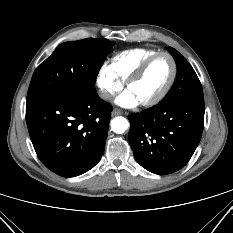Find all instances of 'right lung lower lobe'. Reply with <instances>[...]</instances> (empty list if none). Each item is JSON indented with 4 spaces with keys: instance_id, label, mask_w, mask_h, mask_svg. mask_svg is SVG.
<instances>
[{
    "instance_id": "obj_1",
    "label": "right lung lower lobe",
    "mask_w": 233,
    "mask_h": 233,
    "mask_svg": "<svg viewBox=\"0 0 233 233\" xmlns=\"http://www.w3.org/2000/svg\"><path fill=\"white\" fill-rule=\"evenodd\" d=\"M112 106L94 87L26 104V122L41 162L63 177L81 175L104 152Z\"/></svg>"
}]
</instances>
